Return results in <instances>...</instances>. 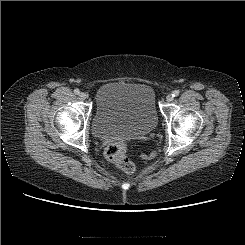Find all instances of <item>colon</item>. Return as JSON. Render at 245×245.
I'll return each instance as SVG.
<instances>
[{
	"instance_id": "1",
	"label": "colon",
	"mask_w": 245,
	"mask_h": 245,
	"mask_svg": "<svg viewBox=\"0 0 245 245\" xmlns=\"http://www.w3.org/2000/svg\"><path fill=\"white\" fill-rule=\"evenodd\" d=\"M128 147L124 143H113L109 145L105 151L106 158L115 164L123 172L131 174L135 170L134 163L127 156ZM151 153L148 158H153Z\"/></svg>"
}]
</instances>
